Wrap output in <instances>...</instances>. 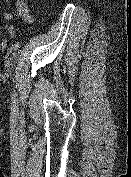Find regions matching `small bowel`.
Listing matches in <instances>:
<instances>
[{
    "label": "small bowel",
    "mask_w": 131,
    "mask_h": 177,
    "mask_svg": "<svg viewBox=\"0 0 131 177\" xmlns=\"http://www.w3.org/2000/svg\"><path fill=\"white\" fill-rule=\"evenodd\" d=\"M15 7L17 10L18 15L26 22V23H32L34 20L33 15L30 12V9L28 7V4L25 0H16L15 1ZM3 20L10 21L13 18V14L10 11L3 12ZM8 32L11 36L16 35V29L13 26L8 27ZM2 48L5 49L7 46L6 41H3L1 44Z\"/></svg>",
    "instance_id": "1"
}]
</instances>
